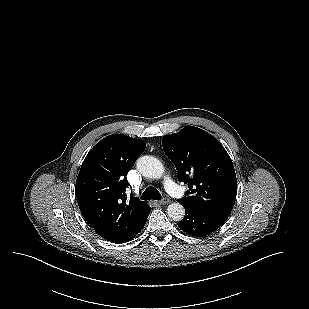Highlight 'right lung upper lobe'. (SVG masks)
Listing matches in <instances>:
<instances>
[{
	"label": "right lung upper lobe",
	"instance_id": "cb5924a9",
	"mask_svg": "<svg viewBox=\"0 0 309 309\" xmlns=\"http://www.w3.org/2000/svg\"><path fill=\"white\" fill-rule=\"evenodd\" d=\"M146 147L144 141L110 135L98 142L82 163L76 197L85 220L111 241L134 231L150 207L132 194L127 199V173Z\"/></svg>",
	"mask_w": 309,
	"mask_h": 309
}]
</instances>
